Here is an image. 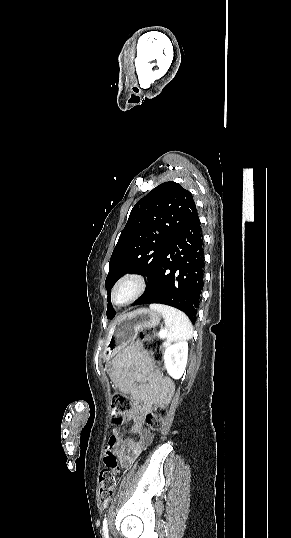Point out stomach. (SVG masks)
<instances>
[{"instance_id": "1", "label": "stomach", "mask_w": 291, "mask_h": 538, "mask_svg": "<svg viewBox=\"0 0 291 538\" xmlns=\"http://www.w3.org/2000/svg\"><path fill=\"white\" fill-rule=\"evenodd\" d=\"M160 322V314L149 309H139L119 318L111 326L103 353L104 360L109 363L112 354H118L127 344L132 342L139 330L153 328Z\"/></svg>"}]
</instances>
